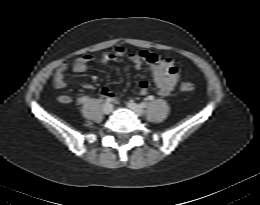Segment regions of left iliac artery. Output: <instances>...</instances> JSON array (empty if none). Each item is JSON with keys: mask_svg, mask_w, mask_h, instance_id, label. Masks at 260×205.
<instances>
[{"mask_svg": "<svg viewBox=\"0 0 260 205\" xmlns=\"http://www.w3.org/2000/svg\"><path fill=\"white\" fill-rule=\"evenodd\" d=\"M149 99L150 100H152L153 99V96H149ZM140 106L142 107V108H146V103H144V102H142L141 104H140Z\"/></svg>", "mask_w": 260, "mask_h": 205, "instance_id": "1", "label": "left iliac artery"}]
</instances>
